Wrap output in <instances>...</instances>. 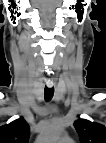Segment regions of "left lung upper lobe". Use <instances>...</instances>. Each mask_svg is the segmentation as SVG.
Listing matches in <instances>:
<instances>
[{"label": "left lung upper lobe", "instance_id": "obj_1", "mask_svg": "<svg viewBox=\"0 0 106 143\" xmlns=\"http://www.w3.org/2000/svg\"><path fill=\"white\" fill-rule=\"evenodd\" d=\"M81 143H106V127L102 124L79 119L74 122Z\"/></svg>", "mask_w": 106, "mask_h": 143}]
</instances>
